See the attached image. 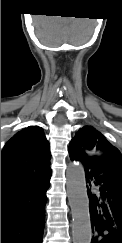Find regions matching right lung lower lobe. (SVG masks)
<instances>
[{"label": "right lung lower lobe", "instance_id": "98d812e1", "mask_svg": "<svg viewBox=\"0 0 122 243\" xmlns=\"http://www.w3.org/2000/svg\"><path fill=\"white\" fill-rule=\"evenodd\" d=\"M51 171L1 190V243H42Z\"/></svg>", "mask_w": 122, "mask_h": 243}]
</instances>
